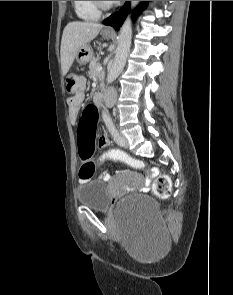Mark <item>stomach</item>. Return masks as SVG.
Listing matches in <instances>:
<instances>
[{
  "instance_id": "stomach-1",
  "label": "stomach",
  "mask_w": 233,
  "mask_h": 295,
  "mask_svg": "<svg viewBox=\"0 0 233 295\" xmlns=\"http://www.w3.org/2000/svg\"><path fill=\"white\" fill-rule=\"evenodd\" d=\"M102 36L104 38H111L112 34L107 33V32H103ZM75 59L80 65L87 64L90 60H92L91 47L88 45H84V46L80 47L78 52L76 53Z\"/></svg>"
}]
</instances>
